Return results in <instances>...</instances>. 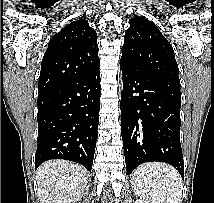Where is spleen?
I'll use <instances>...</instances> for the list:
<instances>
[{
    "label": "spleen",
    "instance_id": "spleen-1",
    "mask_svg": "<svg viewBox=\"0 0 214 203\" xmlns=\"http://www.w3.org/2000/svg\"><path fill=\"white\" fill-rule=\"evenodd\" d=\"M134 193L147 203H181L182 179L172 166L147 163L132 174Z\"/></svg>",
    "mask_w": 214,
    "mask_h": 203
}]
</instances>
